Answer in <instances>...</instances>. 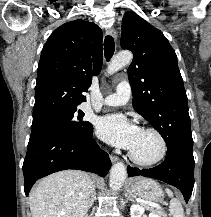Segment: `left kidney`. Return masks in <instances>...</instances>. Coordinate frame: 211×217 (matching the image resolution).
I'll return each instance as SVG.
<instances>
[{
	"mask_svg": "<svg viewBox=\"0 0 211 217\" xmlns=\"http://www.w3.org/2000/svg\"><path fill=\"white\" fill-rule=\"evenodd\" d=\"M131 217H147L144 215V208L139 204H132L130 207ZM148 217H158L154 213H150Z\"/></svg>",
	"mask_w": 211,
	"mask_h": 217,
	"instance_id": "5707ae66",
	"label": "left kidney"
}]
</instances>
